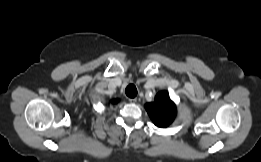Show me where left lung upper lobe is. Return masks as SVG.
I'll list each match as a JSON object with an SVG mask.
<instances>
[{"label":"left lung upper lobe","mask_w":261,"mask_h":162,"mask_svg":"<svg viewBox=\"0 0 261 162\" xmlns=\"http://www.w3.org/2000/svg\"><path fill=\"white\" fill-rule=\"evenodd\" d=\"M145 108L154 124L158 127H168L176 116V106L170 100L166 91L159 92L155 96L154 102L147 103Z\"/></svg>","instance_id":"obj_1"}]
</instances>
